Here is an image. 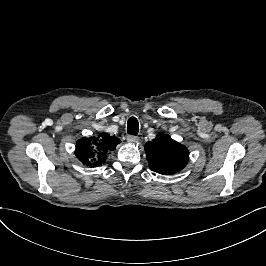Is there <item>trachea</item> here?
I'll return each mask as SVG.
<instances>
[{"label":"trachea","mask_w":266,"mask_h":266,"mask_svg":"<svg viewBox=\"0 0 266 266\" xmlns=\"http://www.w3.org/2000/svg\"><path fill=\"white\" fill-rule=\"evenodd\" d=\"M138 131V120L135 117H131L127 122V133L136 136L138 134Z\"/></svg>","instance_id":"1"}]
</instances>
